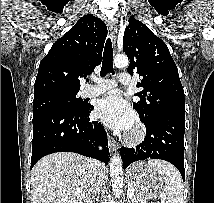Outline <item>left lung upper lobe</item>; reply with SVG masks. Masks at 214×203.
<instances>
[{
	"instance_id": "5c2ea615",
	"label": "left lung upper lobe",
	"mask_w": 214,
	"mask_h": 203,
	"mask_svg": "<svg viewBox=\"0 0 214 203\" xmlns=\"http://www.w3.org/2000/svg\"><path fill=\"white\" fill-rule=\"evenodd\" d=\"M123 51L130 59L129 74L141 77L143 91L133 107L141 120L163 112L185 113L184 90L167 45L141 21L130 17L123 37Z\"/></svg>"
}]
</instances>
